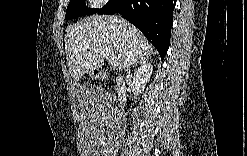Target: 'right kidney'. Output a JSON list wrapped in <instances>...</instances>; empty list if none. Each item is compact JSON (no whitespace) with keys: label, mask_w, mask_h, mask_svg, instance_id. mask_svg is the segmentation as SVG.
<instances>
[{"label":"right kidney","mask_w":247,"mask_h":156,"mask_svg":"<svg viewBox=\"0 0 247 156\" xmlns=\"http://www.w3.org/2000/svg\"><path fill=\"white\" fill-rule=\"evenodd\" d=\"M153 72L151 63H143L135 72L133 84L138 91H144L146 83L150 80Z\"/></svg>","instance_id":"right-kidney-1"}]
</instances>
